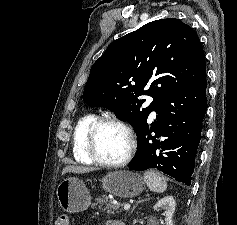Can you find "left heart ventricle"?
<instances>
[{
	"label": "left heart ventricle",
	"instance_id": "1",
	"mask_svg": "<svg viewBox=\"0 0 237 225\" xmlns=\"http://www.w3.org/2000/svg\"><path fill=\"white\" fill-rule=\"evenodd\" d=\"M128 146L127 135L120 127L105 125L98 131L97 149L103 159L121 160L126 155Z\"/></svg>",
	"mask_w": 237,
	"mask_h": 225
}]
</instances>
